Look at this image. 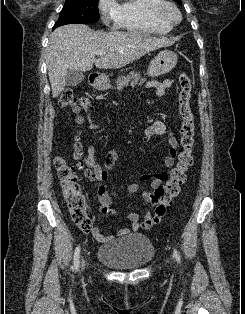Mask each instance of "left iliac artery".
Wrapping results in <instances>:
<instances>
[{
	"label": "left iliac artery",
	"mask_w": 245,
	"mask_h": 314,
	"mask_svg": "<svg viewBox=\"0 0 245 314\" xmlns=\"http://www.w3.org/2000/svg\"><path fill=\"white\" fill-rule=\"evenodd\" d=\"M173 257L177 260V262H181L180 255L176 249L173 251Z\"/></svg>",
	"instance_id": "left-iliac-artery-1"
}]
</instances>
